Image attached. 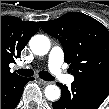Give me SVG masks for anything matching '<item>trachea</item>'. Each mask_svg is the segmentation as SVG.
Here are the masks:
<instances>
[{"label":"trachea","mask_w":109,"mask_h":109,"mask_svg":"<svg viewBox=\"0 0 109 109\" xmlns=\"http://www.w3.org/2000/svg\"><path fill=\"white\" fill-rule=\"evenodd\" d=\"M17 73L25 77H30L33 76L34 71L32 69H19L17 70ZM39 76L45 81H53L55 79L52 75L44 70L39 72Z\"/></svg>","instance_id":"trachea-1"}]
</instances>
